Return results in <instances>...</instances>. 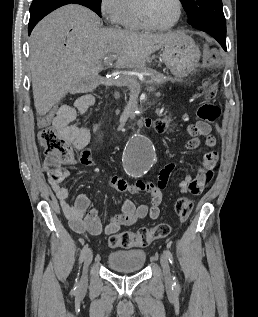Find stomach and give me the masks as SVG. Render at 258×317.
<instances>
[{
  "instance_id": "0dacf381",
  "label": "stomach",
  "mask_w": 258,
  "mask_h": 317,
  "mask_svg": "<svg viewBox=\"0 0 258 317\" xmlns=\"http://www.w3.org/2000/svg\"><path fill=\"white\" fill-rule=\"evenodd\" d=\"M162 58L172 74L187 76L197 64L200 58V50L193 38L185 34L181 40L164 46Z\"/></svg>"
}]
</instances>
